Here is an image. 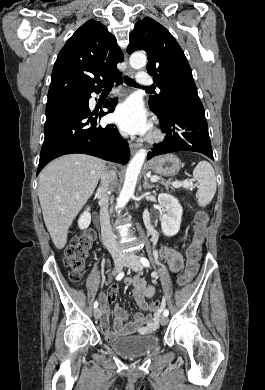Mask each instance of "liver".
<instances>
[{
    "label": "liver",
    "instance_id": "6515ba94",
    "mask_svg": "<svg viewBox=\"0 0 265 390\" xmlns=\"http://www.w3.org/2000/svg\"><path fill=\"white\" fill-rule=\"evenodd\" d=\"M104 161L85 154L62 156L39 175L38 196L43 219L57 249L67 243L68 230L92 196Z\"/></svg>",
    "mask_w": 265,
    "mask_h": 390
}]
</instances>
